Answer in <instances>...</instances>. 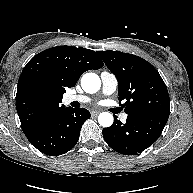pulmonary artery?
Wrapping results in <instances>:
<instances>
[{"label":"pulmonary artery","instance_id":"e3ab8cb5","mask_svg":"<svg viewBox=\"0 0 193 193\" xmlns=\"http://www.w3.org/2000/svg\"><path fill=\"white\" fill-rule=\"evenodd\" d=\"M100 79L102 83V94L111 95L116 91L118 81L116 76L113 73L109 71H103L100 74ZM90 101H91V98L85 95H67L65 97V103L67 104H70L72 102L88 103ZM120 119L122 121H125L127 119V114L125 113L121 114Z\"/></svg>","mask_w":193,"mask_h":193}]
</instances>
